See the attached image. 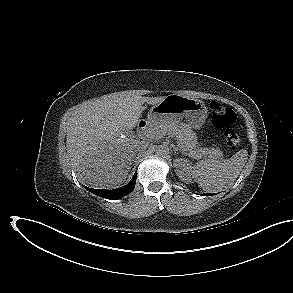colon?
Masks as SVG:
<instances>
[{
    "label": "colon",
    "instance_id": "5ec220e1",
    "mask_svg": "<svg viewBox=\"0 0 293 293\" xmlns=\"http://www.w3.org/2000/svg\"><path fill=\"white\" fill-rule=\"evenodd\" d=\"M211 121L214 127L224 130L226 144L230 150H236L241 145L240 134L231 128L236 121L233 110L224 107L218 102L210 104Z\"/></svg>",
    "mask_w": 293,
    "mask_h": 293
}]
</instances>
